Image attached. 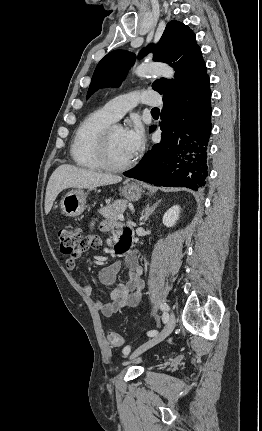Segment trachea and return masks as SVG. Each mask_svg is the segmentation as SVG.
<instances>
[{"mask_svg":"<svg viewBox=\"0 0 262 431\" xmlns=\"http://www.w3.org/2000/svg\"><path fill=\"white\" fill-rule=\"evenodd\" d=\"M151 112L154 114V113H158L159 114V109L158 108H153L152 110H151Z\"/></svg>","mask_w":262,"mask_h":431,"instance_id":"obj_1","label":"trachea"}]
</instances>
